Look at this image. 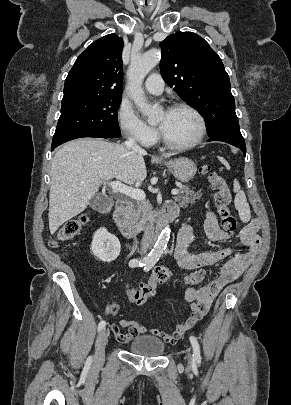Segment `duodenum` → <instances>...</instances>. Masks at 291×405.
<instances>
[{
	"mask_svg": "<svg viewBox=\"0 0 291 405\" xmlns=\"http://www.w3.org/2000/svg\"><path fill=\"white\" fill-rule=\"evenodd\" d=\"M131 207L132 205L129 200L121 199L118 201L113 215L114 223L118 231L126 239H132L134 237V231L129 221ZM177 213L178 210L175 206L166 205L159 213L157 224L150 234V240L155 239L164 224L173 220L177 216Z\"/></svg>",
	"mask_w": 291,
	"mask_h": 405,
	"instance_id": "duodenum-1",
	"label": "duodenum"
}]
</instances>
